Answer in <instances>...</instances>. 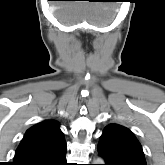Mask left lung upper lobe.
Listing matches in <instances>:
<instances>
[{"label": "left lung upper lobe", "instance_id": "1", "mask_svg": "<svg viewBox=\"0 0 165 165\" xmlns=\"http://www.w3.org/2000/svg\"><path fill=\"white\" fill-rule=\"evenodd\" d=\"M98 153L104 157L106 165H146L142 147L134 134L118 124L105 127Z\"/></svg>", "mask_w": 165, "mask_h": 165}]
</instances>
